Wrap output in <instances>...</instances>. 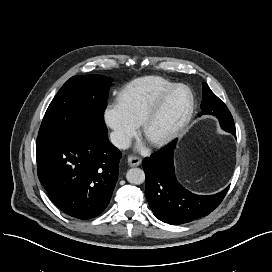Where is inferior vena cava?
I'll use <instances>...</instances> for the list:
<instances>
[{
  "mask_svg": "<svg viewBox=\"0 0 272 272\" xmlns=\"http://www.w3.org/2000/svg\"><path fill=\"white\" fill-rule=\"evenodd\" d=\"M110 141L114 146L119 149H127L131 144L130 138L120 132H111Z\"/></svg>",
  "mask_w": 272,
  "mask_h": 272,
  "instance_id": "inferior-vena-cava-1",
  "label": "inferior vena cava"
}]
</instances>
